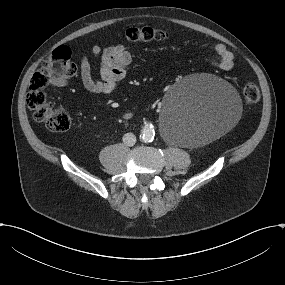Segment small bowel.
<instances>
[{
  "mask_svg": "<svg viewBox=\"0 0 285 285\" xmlns=\"http://www.w3.org/2000/svg\"><path fill=\"white\" fill-rule=\"evenodd\" d=\"M210 47L216 54L213 65L222 71L230 70L234 64L232 52L222 43H213ZM91 51L99 60V68L95 73L90 58L84 55L80 62L81 82L84 88L92 93L109 94L125 77L132 63V55L125 46L120 44H111L105 48L94 44Z\"/></svg>",
  "mask_w": 285,
  "mask_h": 285,
  "instance_id": "c3829d8e",
  "label": "small bowel"
}]
</instances>
